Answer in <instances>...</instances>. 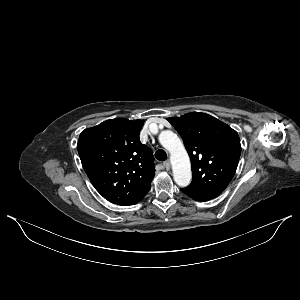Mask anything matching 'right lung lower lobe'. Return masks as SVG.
Returning a JSON list of instances; mask_svg holds the SVG:
<instances>
[{
	"label": "right lung lower lobe",
	"mask_w": 300,
	"mask_h": 300,
	"mask_svg": "<svg viewBox=\"0 0 300 300\" xmlns=\"http://www.w3.org/2000/svg\"><path fill=\"white\" fill-rule=\"evenodd\" d=\"M145 195H146V194H145ZM145 195L140 196V197H135V198L126 199V200L121 201V202H118V203H116V204L122 205V206L134 205V204L140 202V201L144 198Z\"/></svg>",
	"instance_id": "right-lung-lower-lobe-1"
}]
</instances>
